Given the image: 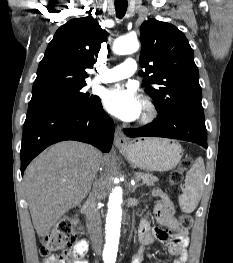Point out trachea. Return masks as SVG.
Wrapping results in <instances>:
<instances>
[{
	"mask_svg": "<svg viewBox=\"0 0 233 263\" xmlns=\"http://www.w3.org/2000/svg\"><path fill=\"white\" fill-rule=\"evenodd\" d=\"M127 0H115L116 15L119 19L123 18L127 11Z\"/></svg>",
	"mask_w": 233,
	"mask_h": 263,
	"instance_id": "trachea-1",
	"label": "trachea"
}]
</instances>
